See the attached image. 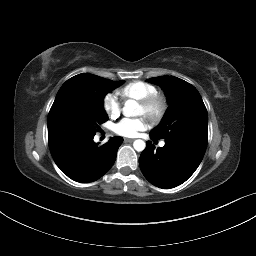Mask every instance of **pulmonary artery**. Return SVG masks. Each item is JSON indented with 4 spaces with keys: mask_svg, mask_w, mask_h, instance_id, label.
<instances>
[{
    "mask_svg": "<svg viewBox=\"0 0 256 256\" xmlns=\"http://www.w3.org/2000/svg\"><path fill=\"white\" fill-rule=\"evenodd\" d=\"M164 144H165L164 142H161V143H160V146H162V147H163V146H164Z\"/></svg>",
    "mask_w": 256,
    "mask_h": 256,
    "instance_id": "obj_1",
    "label": "pulmonary artery"
}]
</instances>
